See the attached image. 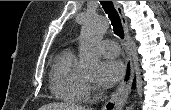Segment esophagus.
Returning <instances> with one entry per match:
<instances>
[{"label":"esophagus","mask_w":171,"mask_h":110,"mask_svg":"<svg viewBox=\"0 0 171 110\" xmlns=\"http://www.w3.org/2000/svg\"><path fill=\"white\" fill-rule=\"evenodd\" d=\"M114 5L118 14L120 15L121 22L124 28L127 57L125 60V72L122 81L120 82L116 91L111 96L110 100L105 104L104 110H109L110 108H112V110H121L123 108L130 92L134 77V68L130 52V34L128 30L127 20L123 14L122 7L116 1H114Z\"/></svg>","instance_id":"1"}]
</instances>
